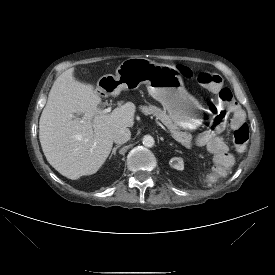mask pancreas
<instances>
[{
    "mask_svg": "<svg viewBox=\"0 0 275 275\" xmlns=\"http://www.w3.org/2000/svg\"><path fill=\"white\" fill-rule=\"evenodd\" d=\"M140 109L145 115H153L159 119L169 129L171 134L184 146H191L192 136L184 132H180L177 125L171 120L170 116L166 114V111L153 105L142 106Z\"/></svg>",
    "mask_w": 275,
    "mask_h": 275,
    "instance_id": "obj_1",
    "label": "pancreas"
}]
</instances>
